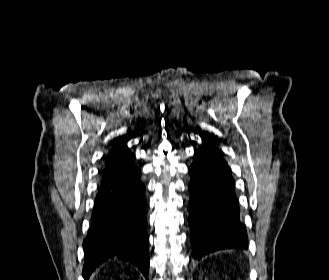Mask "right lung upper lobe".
I'll return each instance as SVG.
<instances>
[{
  "label": "right lung upper lobe",
  "instance_id": "obj_1",
  "mask_svg": "<svg viewBox=\"0 0 329 280\" xmlns=\"http://www.w3.org/2000/svg\"><path fill=\"white\" fill-rule=\"evenodd\" d=\"M128 140V138H118L116 140L115 148L107 156L106 167L116 164L133 163L135 156L126 146Z\"/></svg>",
  "mask_w": 329,
  "mask_h": 280
}]
</instances>
